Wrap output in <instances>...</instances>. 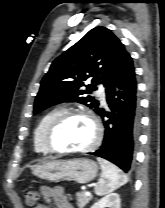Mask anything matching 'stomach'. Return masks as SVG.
<instances>
[{
  "mask_svg": "<svg viewBox=\"0 0 165 208\" xmlns=\"http://www.w3.org/2000/svg\"><path fill=\"white\" fill-rule=\"evenodd\" d=\"M97 164L87 158L72 160H50L36 164L32 174L51 182L73 180L80 184L88 183L97 176Z\"/></svg>",
  "mask_w": 165,
  "mask_h": 208,
  "instance_id": "stomach-1",
  "label": "stomach"
}]
</instances>
